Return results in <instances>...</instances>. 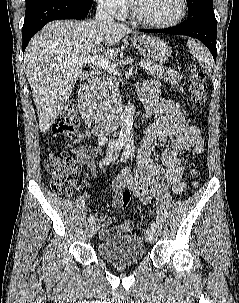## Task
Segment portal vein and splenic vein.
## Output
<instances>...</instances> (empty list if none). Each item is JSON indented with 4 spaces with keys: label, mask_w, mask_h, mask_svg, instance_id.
Wrapping results in <instances>:
<instances>
[{
    "label": "portal vein and splenic vein",
    "mask_w": 239,
    "mask_h": 303,
    "mask_svg": "<svg viewBox=\"0 0 239 303\" xmlns=\"http://www.w3.org/2000/svg\"><path fill=\"white\" fill-rule=\"evenodd\" d=\"M75 63L77 64H80V65H94L96 67H101L105 70H107L108 72L112 73L113 75H117L118 74V70L116 68V65L112 64L110 61H108L107 59L105 58H102V57H98L96 55H92V56H89V57H85V58H79V59H76L74 61ZM139 65L143 68H145L146 70L148 69H152V66L148 63H146L145 61H141L139 63Z\"/></svg>",
    "instance_id": "portal-vein-and-splenic-vein-1"
}]
</instances>
